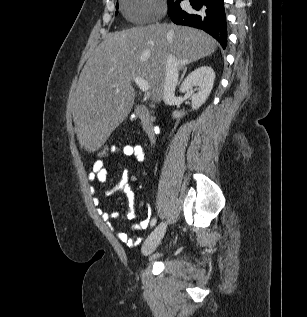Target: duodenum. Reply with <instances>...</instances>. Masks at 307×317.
Returning <instances> with one entry per match:
<instances>
[{
	"label": "duodenum",
	"mask_w": 307,
	"mask_h": 317,
	"mask_svg": "<svg viewBox=\"0 0 307 317\" xmlns=\"http://www.w3.org/2000/svg\"><path fill=\"white\" fill-rule=\"evenodd\" d=\"M135 111L147 138L153 141L156 137V131L148 109L145 106L138 105Z\"/></svg>",
	"instance_id": "1"
}]
</instances>
